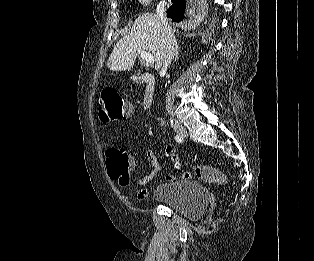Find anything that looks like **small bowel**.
Listing matches in <instances>:
<instances>
[{
    "mask_svg": "<svg viewBox=\"0 0 314 261\" xmlns=\"http://www.w3.org/2000/svg\"><path fill=\"white\" fill-rule=\"evenodd\" d=\"M165 155L167 158H169L172 162L174 163H178V156L175 153L174 147L172 145H168L165 148ZM146 157L147 159L150 161V163L152 164V171L137 179L135 181V185L139 186V187H143L148 185L156 176V174L158 173V171L160 170V162L157 158V156L154 154V152L151 149H148L146 151ZM130 161H131V167H135L138 163V160L136 158H134L132 155H130ZM174 179L173 175H167L166 176V180L171 181ZM149 196V190L148 189H141L138 191L137 193V198L140 200L146 199Z\"/></svg>",
    "mask_w": 314,
    "mask_h": 261,
    "instance_id": "obj_1",
    "label": "small bowel"
}]
</instances>
